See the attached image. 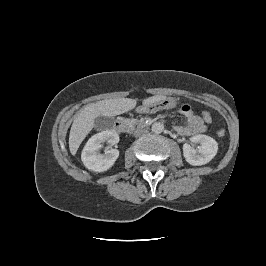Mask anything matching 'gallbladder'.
I'll use <instances>...</instances> for the list:
<instances>
[{
    "label": "gallbladder",
    "mask_w": 266,
    "mask_h": 266,
    "mask_svg": "<svg viewBox=\"0 0 266 266\" xmlns=\"http://www.w3.org/2000/svg\"><path fill=\"white\" fill-rule=\"evenodd\" d=\"M114 119L112 117H106L100 115L95 119L94 125L97 129L111 128L113 126Z\"/></svg>",
    "instance_id": "obj_1"
}]
</instances>
